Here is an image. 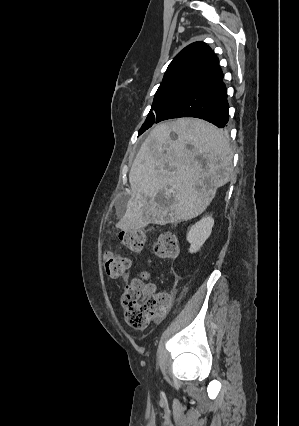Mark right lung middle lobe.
<instances>
[{
    "instance_id": "right-lung-middle-lobe-1",
    "label": "right lung middle lobe",
    "mask_w": 299,
    "mask_h": 426,
    "mask_svg": "<svg viewBox=\"0 0 299 426\" xmlns=\"http://www.w3.org/2000/svg\"><path fill=\"white\" fill-rule=\"evenodd\" d=\"M196 86L190 84H166L160 85L148 114L145 123L139 130V135L157 123L161 115L177 100L195 89Z\"/></svg>"
}]
</instances>
